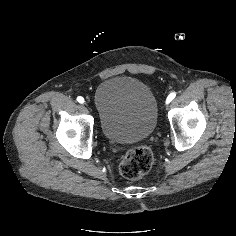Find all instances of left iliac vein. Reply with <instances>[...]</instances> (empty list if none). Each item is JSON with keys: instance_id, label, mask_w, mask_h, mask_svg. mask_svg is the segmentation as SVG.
<instances>
[{"instance_id": "4c4485c4", "label": "left iliac vein", "mask_w": 236, "mask_h": 236, "mask_svg": "<svg viewBox=\"0 0 236 236\" xmlns=\"http://www.w3.org/2000/svg\"><path fill=\"white\" fill-rule=\"evenodd\" d=\"M170 101L166 100L165 103L162 105L163 112L166 114L170 111Z\"/></svg>"}]
</instances>
